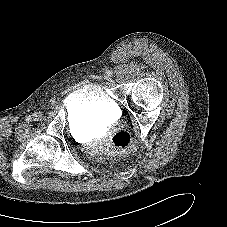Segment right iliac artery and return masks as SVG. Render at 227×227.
I'll list each match as a JSON object with an SVG mask.
<instances>
[{"instance_id": "obj_1", "label": "right iliac artery", "mask_w": 227, "mask_h": 227, "mask_svg": "<svg viewBox=\"0 0 227 227\" xmlns=\"http://www.w3.org/2000/svg\"><path fill=\"white\" fill-rule=\"evenodd\" d=\"M31 119H32V117H31V116H28V117L26 118V121L29 122V121H31Z\"/></svg>"}]
</instances>
